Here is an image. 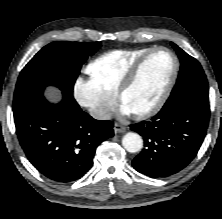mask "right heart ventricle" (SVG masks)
<instances>
[{
	"mask_svg": "<svg viewBox=\"0 0 222 219\" xmlns=\"http://www.w3.org/2000/svg\"><path fill=\"white\" fill-rule=\"evenodd\" d=\"M149 49L142 47L105 52L87 65L86 72L101 94L113 97L124 74Z\"/></svg>",
	"mask_w": 222,
	"mask_h": 219,
	"instance_id": "e07e8e85",
	"label": "right heart ventricle"
}]
</instances>
